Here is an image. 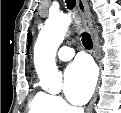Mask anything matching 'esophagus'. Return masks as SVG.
Here are the masks:
<instances>
[{
  "label": "esophagus",
  "instance_id": "obj_1",
  "mask_svg": "<svg viewBox=\"0 0 121 113\" xmlns=\"http://www.w3.org/2000/svg\"><path fill=\"white\" fill-rule=\"evenodd\" d=\"M76 2H77L78 9L82 15L84 25L91 33V37L93 40L94 56H95L96 60L98 61V59H99L98 44H97L95 33L92 28L91 12L89 9L88 2H87V0H76ZM96 99H97V90L95 91V93L92 97V100L90 101V103L87 107L88 113L92 110L93 104L95 103Z\"/></svg>",
  "mask_w": 121,
  "mask_h": 113
}]
</instances>
